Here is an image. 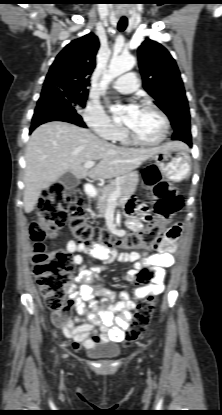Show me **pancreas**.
Returning a JSON list of instances; mask_svg holds the SVG:
<instances>
[{"label":"pancreas","mask_w":222,"mask_h":415,"mask_svg":"<svg viewBox=\"0 0 222 415\" xmlns=\"http://www.w3.org/2000/svg\"><path fill=\"white\" fill-rule=\"evenodd\" d=\"M138 181V174L131 172L122 178L110 182L98 198L97 209L100 216L105 214L109 205V197L113 192L119 189L118 199L129 197L135 192Z\"/></svg>","instance_id":"1"}]
</instances>
